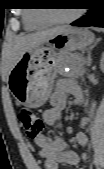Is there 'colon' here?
<instances>
[{
    "mask_svg": "<svg viewBox=\"0 0 104 169\" xmlns=\"http://www.w3.org/2000/svg\"><path fill=\"white\" fill-rule=\"evenodd\" d=\"M18 120L27 137L37 139L41 136L44 130V123L36 113L28 109H22L18 112Z\"/></svg>",
    "mask_w": 104,
    "mask_h": 169,
    "instance_id": "1",
    "label": "colon"
}]
</instances>
